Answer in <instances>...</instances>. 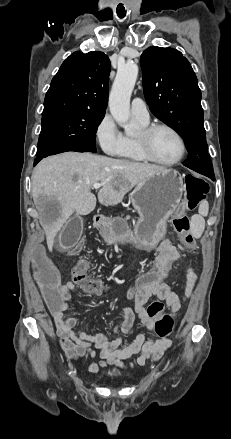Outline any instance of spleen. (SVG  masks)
Wrapping results in <instances>:
<instances>
[{"label":"spleen","mask_w":231,"mask_h":439,"mask_svg":"<svg viewBox=\"0 0 231 439\" xmlns=\"http://www.w3.org/2000/svg\"><path fill=\"white\" fill-rule=\"evenodd\" d=\"M209 204L202 201L199 205L198 214L191 218V232L195 238H200L205 229L204 217L208 215Z\"/></svg>","instance_id":"obj_1"}]
</instances>
